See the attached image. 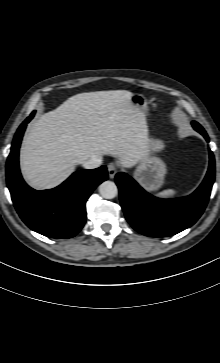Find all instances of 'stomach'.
<instances>
[{
  "instance_id": "0dacf381",
  "label": "stomach",
  "mask_w": 220,
  "mask_h": 363,
  "mask_svg": "<svg viewBox=\"0 0 220 363\" xmlns=\"http://www.w3.org/2000/svg\"><path fill=\"white\" fill-rule=\"evenodd\" d=\"M130 100L134 105L142 109L147 106V100L142 94L134 93ZM163 148L164 142L162 140L149 138L146 156L138 163L134 172L135 179L147 191H155L163 184L167 171L166 165L159 157L154 155Z\"/></svg>"
}]
</instances>
